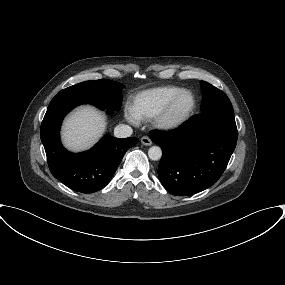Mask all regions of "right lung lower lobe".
<instances>
[{"instance_id":"obj_1","label":"right lung lower lobe","mask_w":285,"mask_h":285,"mask_svg":"<svg viewBox=\"0 0 285 285\" xmlns=\"http://www.w3.org/2000/svg\"><path fill=\"white\" fill-rule=\"evenodd\" d=\"M80 104L85 102L70 95L57 94L48 106L40 135L52 175L74 191L93 193L109 183L126 151L139 140L106 135L86 152L74 154L67 151L60 142V126L64 116Z\"/></svg>"}]
</instances>
